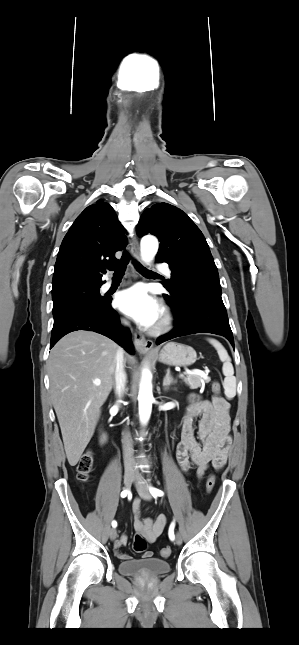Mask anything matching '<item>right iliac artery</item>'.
Wrapping results in <instances>:
<instances>
[{
    "mask_svg": "<svg viewBox=\"0 0 299 645\" xmlns=\"http://www.w3.org/2000/svg\"><path fill=\"white\" fill-rule=\"evenodd\" d=\"M127 495H128V496H130V491H129V490H124V491H122V492H121V497H123V498H124V497H126ZM116 526H117V522H116V521H113V522H112V527H114V528H115Z\"/></svg>",
    "mask_w": 299,
    "mask_h": 645,
    "instance_id": "82829eb1",
    "label": "right iliac artery"
}]
</instances>
